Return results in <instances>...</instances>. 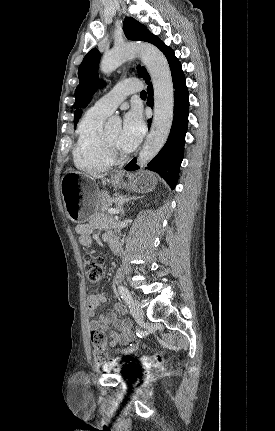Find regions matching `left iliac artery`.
Masks as SVG:
<instances>
[{
	"instance_id": "obj_1",
	"label": "left iliac artery",
	"mask_w": 275,
	"mask_h": 431,
	"mask_svg": "<svg viewBox=\"0 0 275 431\" xmlns=\"http://www.w3.org/2000/svg\"><path fill=\"white\" fill-rule=\"evenodd\" d=\"M118 290H119V294L121 295V298L124 300V302L126 304H130L131 301H132V296H131L129 290L126 287L122 286V285H120L118 287ZM133 350L134 349L131 347L130 349L126 350L125 352L126 353L127 352H132Z\"/></svg>"
}]
</instances>
